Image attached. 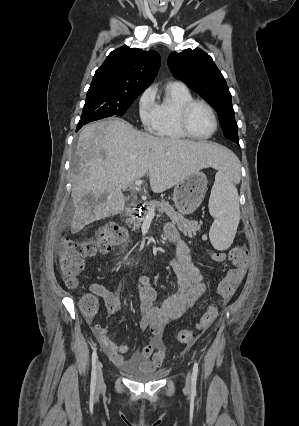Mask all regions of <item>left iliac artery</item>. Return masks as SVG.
<instances>
[{"label":"left iliac artery","instance_id":"44dca946","mask_svg":"<svg viewBox=\"0 0 299 426\" xmlns=\"http://www.w3.org/2000/svg\"><path fill=\"white\" fill-rule=\"evenodd\" d=\"M197 375H198V363L195 361L193 366L192 378H191L193 386H195L196 384Z\"/></svg>","mask_w":299,"mask_h":426}]
</instances>
